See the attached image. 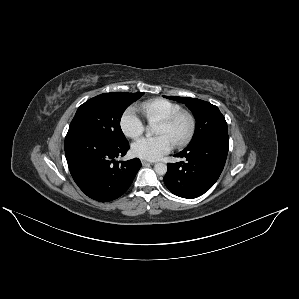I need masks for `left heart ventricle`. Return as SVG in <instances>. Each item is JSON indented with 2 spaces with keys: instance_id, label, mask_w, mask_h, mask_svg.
I'll list each match as a JSON object with an SVG mask.
<instances>
[{
  "instance_id": "obj_1",
  "label": "left heart ventricle",
  "mask_w": 299,
  "mask_h": 299,
  "mask_svg": "<svg viewBox=\"0 0 299 299\" xmlns=\"http://www.w3.org/2000/svg\"><path fill=\"white\" fill-rule=\"evenodd\" d=\"M188 127V119L183 117L173 127H167L160 123L157 134L167 135L174 142L186 134Z\"/></svg>"
}]
</instances>
